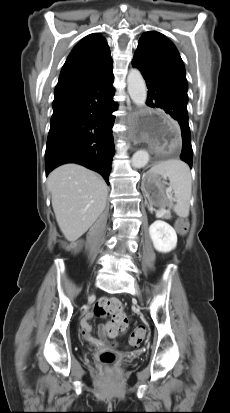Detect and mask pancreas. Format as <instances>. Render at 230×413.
<instances>
[{
	"instance_id": "pancreas-1",
	"label": "pancreas",
	"mask_w": 230,
	"mask_h": 413,
	"mask_svg": "<svg viewBox=\"0 0 230 413\" xmlns=\"http://www.w3.org/2000/svg\"><path fill=\"white\" fill-rule=\"evenodd\" d=\"M170 217H171V216H170L169 213L166 212V213L164 214V218L169 219Z\"/></svg>"
}]
</instances>
